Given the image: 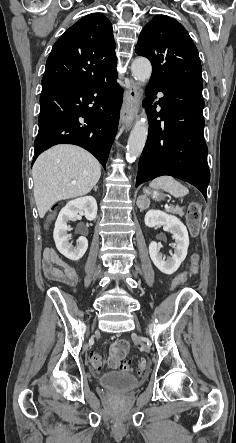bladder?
Here are the masks:
<instances>
[{
  "label": "bladder",
  "instance_id": "bladder-1",
  "mask_svg": "<svg viewBox=\"0 0 236 443\" xmlns=\"http://www.w3.org/2000/svg\"><path fill=\"white\" fill-rule=\"evenodd\" d=\"M140 383L138 377L126 371H112L102 374L98 379V385L106 389L129 390L137 387Z\"/></svg>",
  "mask_w": 236,
  "mask_h": 443
}]
</instances>
